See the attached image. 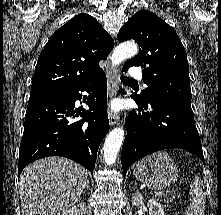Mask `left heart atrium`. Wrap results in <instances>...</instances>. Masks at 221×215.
Listing matches in <instances>:
<instances>
[{"instance_id": "39dd6f15", "label": "left heart atrium", "mask_w": 221, "mask_h": 215, "mask_svg": "<svg viewBox=\"0 0 221 215\" xmlns=\"http://www.w3.org/2000/svg\"><path fill=\"white\" fill-rule=\"evenodd\" d=\"M110 108L112 110H118L119 109V104L118 102H113L111 105H110Z\"/></svg>"}]
</instances>
